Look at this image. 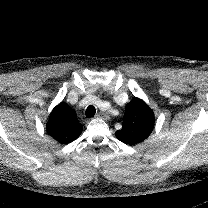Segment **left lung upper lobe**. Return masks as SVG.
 Wrapping results in <instances>:
<instances>
[{"label":"left lung upper lobe","instance_id":"left-lung-upper-lobe-1","mask_svg":"<svg viewBox=\"0 0 208 208\" xmlns=\"http://www.w3.org/2000/svg\"><path fill=\"white\" fill-rule=\"evenodd\" d=\"M154 122V113L150 107L143 100L134 97L126 105L122 128L115 135L120 141L135 145L150 135Z\"/></svg>","mask_w":208,"mask_h":208}]
</instances>
